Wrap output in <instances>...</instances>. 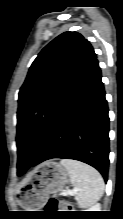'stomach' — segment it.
Here are the masks:
<instances>
[{
  "label": "stomach",
  "mask_w": 123,
  "mask_h": 219,
  "mask_svg": "<svg viewBox=\"0 0 123 219\" xmlns=\"http://www.w3.org/2000/svg\"><path fill=\"white\" fill-rule=\"evenodd\" d=\"M67 169L55 161H47L39 165L23 184L18 192V203L26 211H37L42 208L50 194L60 192L68 182Z\"/></svg>",
  "instance_id": "stomach-1"
}]
</instances>
